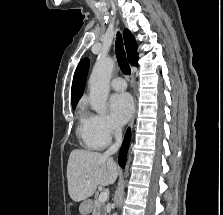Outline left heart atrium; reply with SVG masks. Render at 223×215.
<instances>
[{"label":"left heart atrium","instance_id":"39dd6f15","mask_svg":"<svg viewBox=\"0 0 223 215\" xmlns=\"http://www.w3.org/2000/svg\"><path fill=\"white\" fill-rule=\"evenodd\" d=\"M109 105L111 115L114 121L119 125L124 124L133 111V101L128 93L114 94L110 98Z\"/></svg>","mask_w":223,"mask_h":215}]
</instances>
